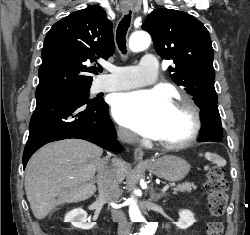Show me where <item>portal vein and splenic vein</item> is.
Here are the masks:
<instances>
[{
    "mask_svg": "<svg viewBox=\"0 0 250 235\" xmlns=\"http://www.w3.org/2000/svg\"><path fill=\"white\" fill-rule=\"evenodd\" d=\"M168 189H169V186L166 185V186L162 189V192L164 193V192H166Z\"/></svg>",
    "mask_w": 250,
    "mask_h": 235,
    "instance_id": "obj_1",
    "label": "portal vein and splenic vein"
}]
</instances>
